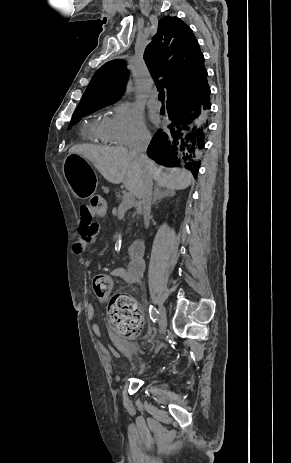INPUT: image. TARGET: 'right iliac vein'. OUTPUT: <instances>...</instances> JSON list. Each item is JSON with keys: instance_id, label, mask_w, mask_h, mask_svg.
<instances>
[{"instance_id": "63e3f726", "label": "right iliac vein", "mask_w": 291, "mask_h": 463, "mask_svg": "<svg viewBox=\"0 0 291 463\" xmlns=\"http://www.w3.org/2000/svg\"><path fill=\"white\" fill-rule=\"evenodd\" d=\"M159 313H160V329L161 332H164L167 324V317L166 312L163 306L159 305Z\"/></svg>"}]
</instances>
